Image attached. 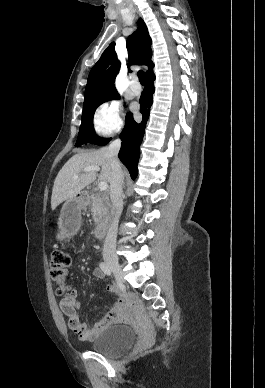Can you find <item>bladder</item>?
<instances>
[{
  "label": "bladder",
  "mask_w": 265,
  "mask_h": 388,
  "mask_svg": "<svg viewBox=\"0 0 265 388\" xmlns=\"http://www.w3.org/2000/svg\"><path fill=\"white\" fill-rule=\"evenodd\" d=\"M135 334L131 327L115 326L101 332L94 340L92 349L106 356L125 351L133 345Z\"/></svg>",
  "instance_id": "bladder-1"
}]
</instances>
